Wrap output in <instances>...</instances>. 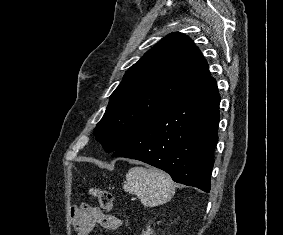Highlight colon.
<instances>
[{
	"label": "colon",
	"instance_id": "1",
	"mask_svg": "<svg viewBox=\"0 0 283 235\" xmlns=\"http://www.w3.org/2000/svg\"><path fill=\"white\" fill-rule=\"evenodd\" d=\"M88 194L97 199L100 206L106 210L111 211L113 208V195L104 189L92 186L88 189Z\"/></svg>",
	"mask_w": 283,
	"mask_h": 235
}]
</instances>
